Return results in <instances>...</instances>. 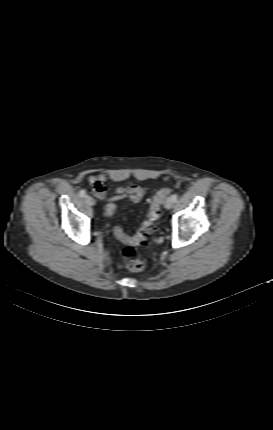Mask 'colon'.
<instances>
[{"label":"colon","instance_id":"5ec220e1","mask_svg":"<svg viewBox=\"0 0 273 430\" xmlns=\"http://www.w3.org/2000/svg\"><path fill=\"white\" fill-rule=\"evenodd\" d=\"M171 192V188H162L151 195L149 199L147 215L140 223L139 229L134 235L127 236L121 227H115V235L120 240L126 242V244L121 249V256L124 264L130 270L140 271L144 268V263L134 245L143 243L151 234L154 233V221L160 214V207L162 203ZM115 209L116 205L110 204L106 206L105 212L108 216H111L115 212Z\"/></svg>","mask_w":273,"mask_h":430}]
</instances>
